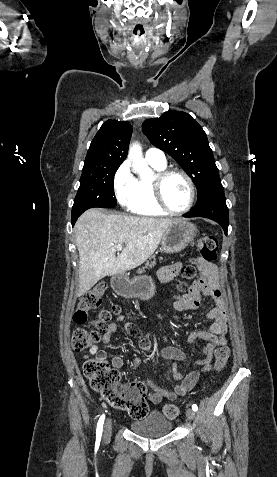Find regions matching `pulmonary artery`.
Masks as SVG:
<instances>
[{"mask_svg": "<svg viewBox=\"0 0 277 477\" xmlns=\"http://www.w3.org/2000/svg\"><path fill=\"white\" fill-rule=\"evenodd\" d=\"M145 159L148 163L160 166L166 165V157L163 151L157 148H149L145 153Z\"/></svg>", "mask_w": 277, "mask_h": 477, "instance_id": "obj_1", "label": "pulmonary artery"}]
</instances>
